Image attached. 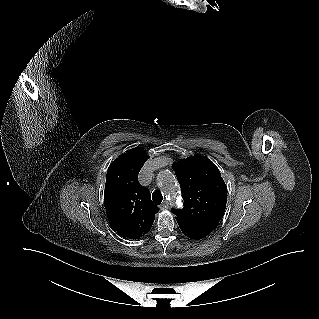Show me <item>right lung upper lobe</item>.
Returning a JSON list of instances; mask_svg holds the SVG:
<instances>
[{
	"instance_id": "cb5924a9",
	"label": "right lung upper lobe",
	"mask_w": 319,
	"mask_h": 319,
	"mask_svg": "<svg viewBox=\"0 0 319 319\" xmlns=\"http://www.w3.org/2000/svg\"><path fill=\"white\" fill-rule=\"evenodd\" d=\"M147 159L143 149L134 148L115 159L107 171L106 214L113 229L124 238L139 239L145 235L159 211L151 201L149 190L137 180Z\"/></svg>"
}]
</instances>
